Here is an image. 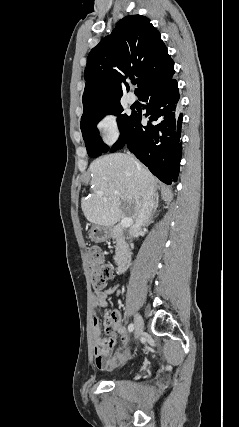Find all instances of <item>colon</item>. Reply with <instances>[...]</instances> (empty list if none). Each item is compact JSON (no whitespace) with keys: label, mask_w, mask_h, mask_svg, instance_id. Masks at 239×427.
Masks as SVG:
<instances>
[{"label":"colon","mask_w":239,"mask_h":427,"mask_svg":"<svg viewBox=\"0 0 239 427\" xmlns=\"http://www.w3.org/2000/svg\"><path fill=\"white\" fill-rule=\"evenodd\" d=\"M87 258L93 288L96 290L104 289L107 281L112 277V267L105 262L104 254L99 247H89ZM111 322L112 320L107 318V324Z\"/></svg>","instance_id":"obj_1"}]
</instances>
